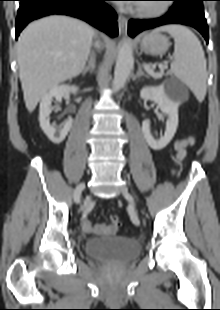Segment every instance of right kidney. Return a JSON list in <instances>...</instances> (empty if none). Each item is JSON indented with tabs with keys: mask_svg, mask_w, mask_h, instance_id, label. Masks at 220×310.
<instances>
[{
	"mask_svg": "<svg viewBox=\"0 0 220 310\" xmlns=\"http://www.w3.org/2000/svg\"><path fill=\"white\" fill-rule=\"evenodd\" d=\"M78 87L67 84L57 85L52 87L42 98L40 102V108H39V122L40 127L43 130V132L46 134V136L49 138V140L54 144H60L63 142L65 137L67 136L68 132L70 131L72 127L73 120L69 118L64 126L60 129H56L55 126H52L50 124L49 115L52 111V100L53 98L56 99V101L61 102L62 98L68 94V93H77Z\"/></svg>",
	"mask_w": 220,
	"mask_h": 310,
	"instance_id": "obj_1",
	"label": "right kidney"
}]
</instances>
